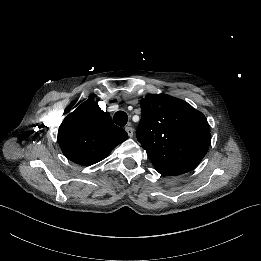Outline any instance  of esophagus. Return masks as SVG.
<instances>
[{
	"instance_id": "esophagus-1",
	"label": "esophagus",
	"mask_w": 261,
	"mask_h": 261,
	"mask_svg": "<svg viewBox=\"0 0 261 261\" xmlns=\"http://www.w3.org/2000/svg\"><path fill=\"white\" fill-rule=\"evenodd\" d=\"M125 131L128 133V136H129V137H132V136H133V128H132V127L127 126V127L125 128Z\"/></svg>"
}]
</instances>
